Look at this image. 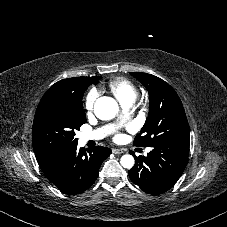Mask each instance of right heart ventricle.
I'll list each match as a JSON object with an SVG mask.
<instances>
[{"label":"right heart ventricle","mask_w":227,"mask_h":227,"mask_svg":"<svg viewBox=\"0 0 227 227\" xmlns=\"http://www.w3.org/2000/svg\"><path fill=\"white\" fill-rule=\"evenodd\" d=\"M106 89L118 99L121 105L132 103L137 96L135 85L123 77L110 80L106 85Z\"/></svg>","instance_id":"right-heart-ventricle-1"}]
</instances>
